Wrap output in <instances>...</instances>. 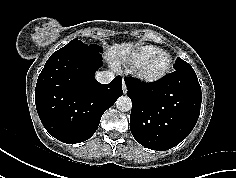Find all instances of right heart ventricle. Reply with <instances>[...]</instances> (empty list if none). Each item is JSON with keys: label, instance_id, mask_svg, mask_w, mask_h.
Returning a JSON list of instances; mask_svg holds the SVG:
<instances>
[{"label": "right heart ventricle", "instance_id": "obj_1", "mask_svg": "<svg viewBox=\"0 0 236 178\" xmlns=\"http://www.w3.org/2000/svg\"><path fill=\"white\" fill-rule=\"evenodd\" d=\"M160 52H162V50L153 45L139 46L130 52L127 57V62L133 66H136L138 63Z\"/></svg>", "mask_w": 236, "mask_h": 178}]
</instances>
